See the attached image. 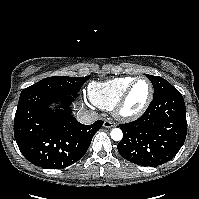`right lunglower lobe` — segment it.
I'll return each mask as SVG.
<instances>
[{
    "mask_svg": "<svg viewBox=\"0 0 199 199\" xmlns=\"http://www.w3.org/2000/svg\"><path fill=\"white\" fill-rule=\"evenodd\" d=\"M76 96L28 92L20 95L14 119V136L24 157L34 165L60 169L77 162L86 153L103 121L79 123L69 105ZM60 102L64 110L48 106Z\"/></svg>",
    "mask_w": 199,
    "mask_h": 199,
    "instance_id": "98d812e1",
    "label": "right lung lower lobe"
}]
</instances>
